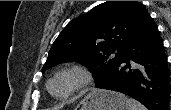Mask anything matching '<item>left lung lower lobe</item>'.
<instances>
[{
    "label": "left lung lower lobe",
    "instance_id": "0a47b994",
    "mask_svg": "<svg viewBox=\"0 0 171 110\" xmlns=\"http://www.w3.org/2000/svg\"><path fill=\"white\" fill-rule=\"evenodd\" d=\"M96 87L129 95L149 110H170V70L163 41L151 17L142 33L128 45L115 70Z\"/></svg>",
    "mask_w": 171,
    "mask_h": 110
}]
</instances>
